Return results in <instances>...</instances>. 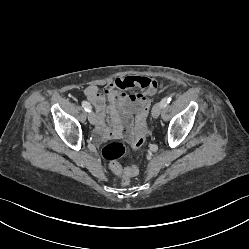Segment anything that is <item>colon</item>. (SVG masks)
Returning <instances> with one entry per match:
<instances>
[{
	"instance_id": "obj_1",
	"label": "colon",
	"mask_w": 249,
	"mask_h": 249,
	"mask_svg": "<svg viewBox=\"0 0 249 249\" xmlns=\"http://www.w3.org/2000/svg\"><path fill=\"white\" fill-rule=\"evenodd\" d=\"M155 87L151 90H154ZM148 108L143 109L140 114L137 116V132L132 141V147L135 150H141L144 148L145 144V132L143 129V123L146 118ZM126 152V147L121 142H111L105 145L102 148V156L110 161V167L115 173H119L121 175V180L123 185H127L129 183V179L131 176H135L139 173V168L137 166H131L129 168H122L120 164L116 161L118 158L122 157Z\"/></svg>"
}]
</instances>
